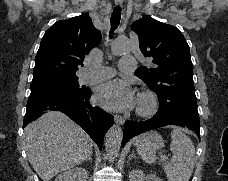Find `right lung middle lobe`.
<instances>
[{"mask_svg": "<svg viewBox=\"0 0 228 181\" xmlns=\"http://www.w3.org/2000/svg\"><path fill=\"white\" fill-rule=\"evenodd\" d=\"M45 88H56L73 94L84 93L85 87H80L77 76L49 77L32 80L31 91Z\"/></svg>", "mask_w": 228, "mask_h": 181, "instance_id": "obj_1", "label": "right lung middle lobe"}]
</instances>
